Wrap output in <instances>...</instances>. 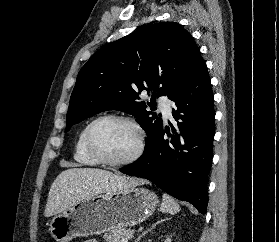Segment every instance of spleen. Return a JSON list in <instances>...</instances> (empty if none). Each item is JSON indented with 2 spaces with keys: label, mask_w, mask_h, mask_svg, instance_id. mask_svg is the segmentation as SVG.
<instances>
[{
  "label": "spleen",
  "mask_w": 279,
  "mask_h": 242,
  "mask_svg": "<svg viewBox=\"0 0 279 242\" xmlns=\"http://www.w3.org/2000/svg\"><path fill=\"white\" fill-rule=\"evenodd\" d=\"M160 210L164 213L175 214L180 211V206L171 196L163 194Z\"/></svg>",
  "instance_id": "obj_1"
}]
</instances>
